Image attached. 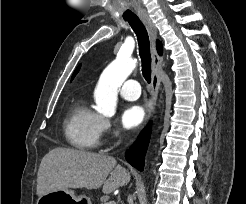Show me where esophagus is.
Returning <instances> with one entry per match:
<instances>
[{
	"instance_id": "obj_1",
	"label": "esophagus",
	"mask_w": 246,
	"mask_h": 204,
	"mask_svg": "<svg viewBox=\"0 0 246 204\" xmlns=\"http://www.w3.org/2000/svg\"><path fill=\"white\" fill-rule=\"evenodd\" d=\"M142 22L146 26L151 38V52H152V79H151V100L149 103L148 115L146 124L152 119L154 108L157 101L158 91L160 88V70L162 67V57L156 50V40L158 38L157 29L155 28L151 18L147 15L140 16Z\"/></svg>"
}]
</instances>
